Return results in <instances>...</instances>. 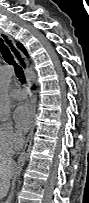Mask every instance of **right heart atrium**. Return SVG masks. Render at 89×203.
Here are the masks:
<instances>
[{"label": "right heart atrium", "mask_w": 89, "mask_h": 203, "mask_svg": "<svg viewBox=\"0 0 89 203\" xmlns=\"http://www.w3.org/2000/svg\"><path fill=\"white\" fill-rule=\"evenodd\" d=\"M0 141L10 151L17 150L23 143V137L10 122H3L0 126Z\"/></svg>", "instance_id": "obj_1"}]
</instances>
